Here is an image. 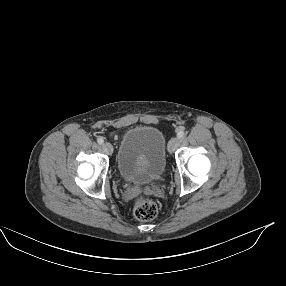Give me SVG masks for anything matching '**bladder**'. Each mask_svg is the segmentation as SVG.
Returning a JSON list of instances; mask_svg holds the SVG:
<instances>
[{
    "label": "bladder",
    "instance_id": "obj_1",
    "mask_svg": "<svg viewBox=\"0 0 286 286\" xmlns=\"http://www.w3.org/2000/svg\"><path fill=\"white\" fill-rule=\"evenodd\" d=\"M166 167V139L156 127L136 126L122 136L117 168L128 182H150L162 176Z\"/></svg>",
    "mask_w": 286,
    "mask_h": 286
}]
</instances>
